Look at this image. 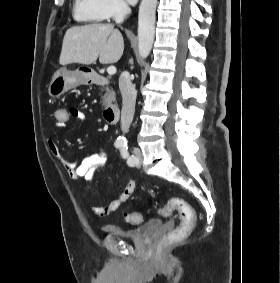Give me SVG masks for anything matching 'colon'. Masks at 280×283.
Returning a JSON list of instances; mask_svg holds the SVG:
<instances>
[{"label":"colon","instance_id":"1","mask_svg":"<svg viewBox=\"0 0 280 283\" xmlns=\"http://www.w3.org/2000/svg\"><path fill=\"white\" fill-rule=\"evenodd\" d=\"M54 116V122H70L68 107H63V105L55 108ZM173 210L178 211L180 223L177 228L168 233L167 237L172 240H179L186 237L193 230L196 223V216L190 204L179 197H172L164 207L159 209V213L167 216ZM125 219L131 224H139L142 222V215L139 212L125 213Z\"/></svg>","mask_w":280,"mask_h":283}]
</instances>
